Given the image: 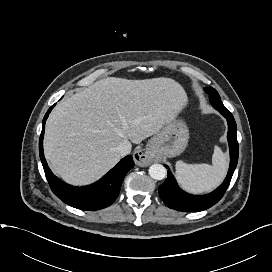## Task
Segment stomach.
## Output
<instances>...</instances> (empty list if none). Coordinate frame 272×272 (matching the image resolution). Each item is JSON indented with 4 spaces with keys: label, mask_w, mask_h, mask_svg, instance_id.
<instances>
[{
    "label": "stomach",
    "mask_w": 272,
    "mask_h": 272,
    "mask_svg": "<svg viewBox=\"0 0 272 272\" xmlns=\"http://www.w3.org/2000/svg\"><path fill=\"white\" fill-rule=\"evenodd\" d=\"M188 140L186 124L174 118L148 141L146 154L155 158L175 157L185 150Z\"/></svg>",
    "instance_id": "1"
}]
</instances>
